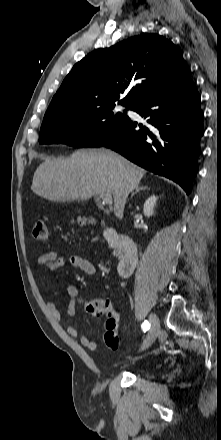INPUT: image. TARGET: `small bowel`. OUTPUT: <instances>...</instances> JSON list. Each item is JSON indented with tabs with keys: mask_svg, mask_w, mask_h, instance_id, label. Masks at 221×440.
I'll use <instances>...</instances> for the list:
<instances>
[{
	"mask_svg": "<svg viewBox=\"0 0 221 440\" xmlns=\"http://www.w3.org/2000/svg\"><path fill=\"white\" fill-rule=\"evenodd\" d=\"M36 264L38 268H45L48 270H57L65 266H72L80 269L87 275H93L96 272L94 264L88 259H85L75 254H64L58 256L57 253L53 250L42 253L37 258ZM65 291L66 295L70 298V302L67 307V314L69 316H73L75 314L76 306L80 302L79 291L78 288L73 284H68L65 288ZM46 308L55 321H62V314L53 302H47ZM66 331L68 335L73 338L79 337L80 342L84 347L90 350L97 349L96 341L89 338L88 336H80L79 331L76 327L69 326L67 327Z\"/></svg>",
	"mask_w": 221,
	"mask_h": 440,
	"instance_id": "1",
	"label": "small bowel"
}]
</instances>
